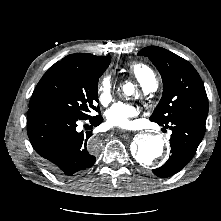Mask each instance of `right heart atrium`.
Returning a JSON list of instances; mask_svg holds the SVG:
<instances>
[{
	"instance_id": "d8ad5b80",
	"label": "right heart atrium",
	"mask_w": 221,
	"mask_h": 221,
	"mask_svg": "<svg viewBox=\"0 0 221 221\" xmlns=\"http://www.w3.org/2000/svg\"><path fill=\"white\" fill-rule=\"evenodd\" d=\"M113 83L111 76L106 73L104 74L98 83V98L103 104L107 103L112 95Z\"/></svg>"
}]
</instances>
